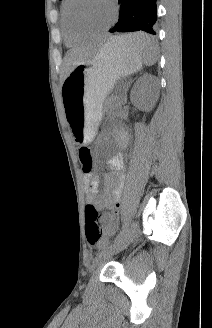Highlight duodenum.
Masks as SVG:
<instances>
[{
  "mask_svg": "<svg viewBox=\"0 0 212 328\" xmlns=\"http://www.w3.org/2000/svg\"><path fill=\"white\" fill-rule=\"evenodd\" d=\"M116 138L120 143H124L125 142V137L121 132H117L116 133Z\"/></svg>",
  "mask_w": 212,
  "mask_h": 328,
  "instance_id": "410a0bca",
  "label": "duodenum"
}]
</instances>
